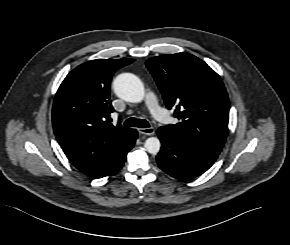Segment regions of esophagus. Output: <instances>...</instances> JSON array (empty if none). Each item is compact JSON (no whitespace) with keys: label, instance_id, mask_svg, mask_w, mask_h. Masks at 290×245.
I'll use <instances>...</instances> for the list:
<instances>
[{"label":"esophagus","instance_id":"esophagus-1","mask_svg":"<svg viewBox=\"0 0 290 245\" xmlns=\"http://www.w3.org/2000/svg\"><path fill=\"white\" fill-rule=\"evenodd\" d=\"M138 132L140 134H143V135L151 136V135H154L155 134V129L153 127L140 128V129H138Z\"/></svg>","mask_w":290,"mask_h":245}]
</instances>
